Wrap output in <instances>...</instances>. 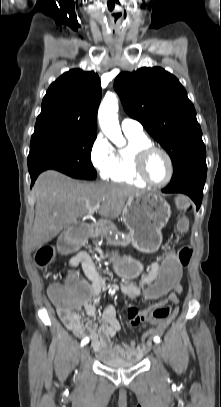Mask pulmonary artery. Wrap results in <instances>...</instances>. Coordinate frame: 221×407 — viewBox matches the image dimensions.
<instances>
[{
	"mask_svg": "<svg viewBox=\"0 0 221 407\" xmlns=\"http://www.w3.org/2000/svg\"><path fill=\"white\" fill-rule=\"evenodd\" d=\"M121 128L125 133H143V127L141 123L131 118H124L121 122Z\"/></svg>",
	"mask_w": 221,
	"mask_h": 407,
	"instance_id": "pulmonary-artery-1",
	"label": "pulmonary artery"
}]
</instances>
